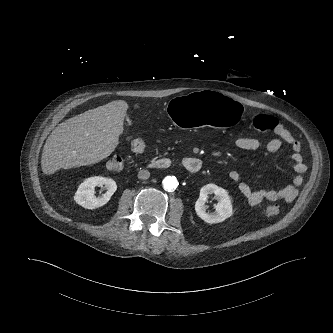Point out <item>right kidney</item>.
<instances>
[{"instance_id": "ca27d5eb", "label": "right kidney", "mask_w": 333, "mask_h": 333, "mask_svg": "<svg viewBox=\"0 0 333 333\" xmlns=\"http://www.w3.org/2000/svg\"><path fill=\"white\" fill-rule=\"evenodd\" d=\"M95 187H104L107 191L100 197L95 196ZM117 190L116 182L111 178L93 176L85 179L78 187L74 199L86 209H95L105 205Z\"/></svg>"}]
</instances>
